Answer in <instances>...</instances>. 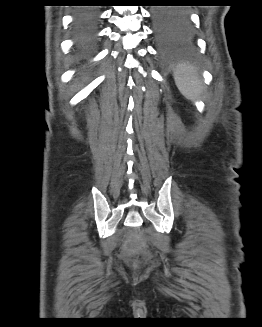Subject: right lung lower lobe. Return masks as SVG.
Listing matches in <instances>:
<instances>
[{
    "label": "right lung lower lobe",
    "instance_id": "obj_1",
    "mask_svg": "<svg viewBox=\"0 0 262 327\" xmlns=\"http://www.w3.org/2000/svg\"><path fill=\"white\" fill-rule=\"evenodd\" d=\"M99 11L94 8L79 9L75 14L74 31L79 39L92 40L98 31Z\"/></svg>",
    "mask_w": 262,
    "mask_h": 327
}]
</instances>
